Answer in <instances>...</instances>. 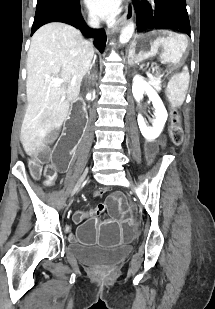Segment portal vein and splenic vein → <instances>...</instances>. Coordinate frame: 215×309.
<instances>
[{
	"mask_svg": "<svg viewBox=\"0 0 215 309\" xmlns=\"http://www.w3.org/2000/svg\"><path fill=\"white\" fill-rule=\"evenodd\" d=\"M49 78V76H48ZM50 82H52L53 86H61L62 82H64L63 78H51Z\"/></svg>",
	"mask_w": 215,
	"mask_h": 309,
	"instance_id": "18ae733b",
	"label": "portal vein and splenic vein"
}]
</instances>
